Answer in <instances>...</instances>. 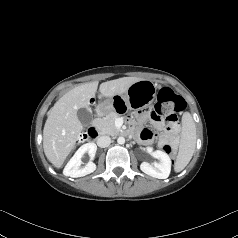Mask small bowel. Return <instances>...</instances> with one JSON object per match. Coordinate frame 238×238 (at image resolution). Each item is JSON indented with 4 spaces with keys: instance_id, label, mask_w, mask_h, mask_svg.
<instances>
[{
    "instance_id": "small-bowel-1",
    "label": "small bowel",
    "mask_w": 238,
    "mask_h": 238,
    "mask_svg": "<svg viewBox=\"0 0 238 238\" xmlns=\"http://www.w3.org/2000/svg\"><path fill=\"white\" fill-rule=\"evenodd\" d=\"M148 118L151 120L155 128L159 130H163L165 128V124L163 123V117L157 110H151L148 114L140 112L137 115V119L139 122H143ZM131 125L133 132L138 135V138L142 143L150 144L155 139H158L159 145L162 146V144L166 141L171 142L173 144H176L178 141V134L176 129H167L164 134L157 136L147 128L139 129L137 123L134 120L131 122Z\"/></svg>"
}]
</instances>
